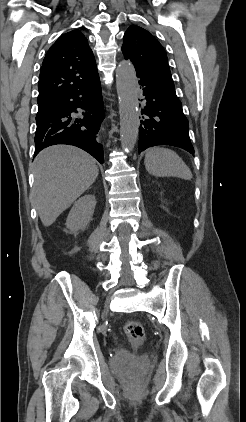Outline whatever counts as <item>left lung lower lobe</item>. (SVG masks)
<instances>
[{"instance_id": "obj_1", "label": "left lung lower lobe", "mask_w": 246, "mask_h": 422, "mask_svg": "<svg viewBox=\"0 0 246 422\" xmlns=\"http://www.w3.org/2000/svg\"><path fill=\"white\" fill-rule=\"evenodd\" d=\"M144 96L139 127L138 151L156 145L180 147L191 154L194 148L189 138V124L178 97L143 74H138Z\"/></svg>"}]
</instances>
